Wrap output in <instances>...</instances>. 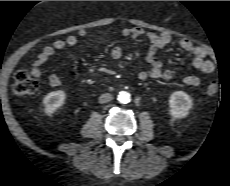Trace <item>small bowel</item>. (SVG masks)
I'll return each mask as SVG.
<instances>
[{
  "label": "small bowel",
  "instance_id": "1",
  "mask_svg": "<svg viewBox=\"0 0 230 186\" xmlns=\"http://www.w3.org/2000/svg\"><path fill=\"white\" fill-rule=\"evenodd\" d=\"M88 29H81L79 35L85 37L88 34ZM123 36L132 38H146L149 41L147 51V61L150 64L148 70H142L138 73V79L141 81L147 79L153 80H169L172 78V72L166 69L163 63L157 59L156 53L159 49L169 45L172 42V37L168 34H155L146 32L142 28L131 26L123 29ZM100 40L106 42V38L100 37ZM78 44V37L76 35H68L64 39L55 40L52 44L46 46L38 55L36 60L30 67V72L39 77L42 75V66L49 61V59L57 52L67 48L74 47ZM178 47L191 54L192 66L199 70L201 73L210 74L215 70V64L208 58V52L205 48L196 46L189 39H180ZM122 49L119 46H114L111 49L110 56L113 60H118L122 57ZM183 82L188 86H198L200 79L194 75L184 77ZM49 83L53 87H59L62 80L57 74L49 76Z\"/></svg>",
  "mask_w": 230,
  "mask_h": 186
}]
</instances>
